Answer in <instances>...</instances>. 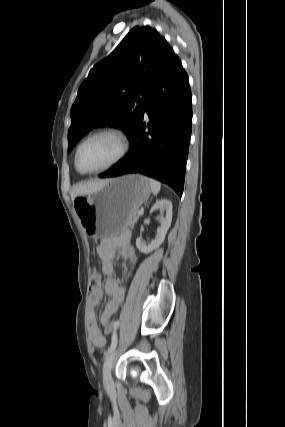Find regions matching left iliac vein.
Listing matches in <instances>:
<instances>
[{"label": "left iliac vein", "instance_id": "left-iliac-vein-1", "mask_svg": "<svg viewBox=\"0 0 285 427\" xmlns=\"http://www.w3.org/2000/svg\"><path fill=\"white\" fill-rule=\"evenodd\" d=\"M115 349L112 350L103 365V381H104V385L106 386L107 389H112L113 388V379L111 376V369H112V365H113V361H114V357H115Z\"/></svg>", "mask_w": 285, "mask_h": 427}]
</instances>
